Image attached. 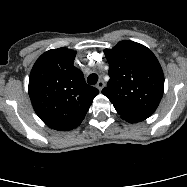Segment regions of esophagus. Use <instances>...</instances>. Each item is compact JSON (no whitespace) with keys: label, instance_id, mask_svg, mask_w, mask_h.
<instances>
[{"label":"esophagus","instance_id":"esophagus-1","mask_svg":"<svg viewBox=\"0 0 187 187\" xmlns=\"http://www.w3.org/2000/svg\"><path fill=\"white\" fill-rule=\"evenodd\" d=\"M105 86V83L103 80L98 81V83L96 84V87L98 88L99 91H101Z\"/></svg>","mask_w":187,"mask_h":187}]
</instances>
